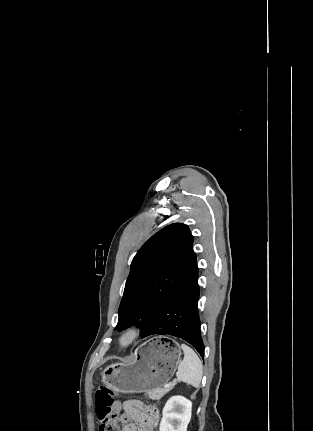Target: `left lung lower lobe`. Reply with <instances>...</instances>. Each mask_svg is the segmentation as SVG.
I'll return each mask as SVG.
<instances>
[{
	"label": "left lung lower lobe",
	"instance_id": "1",
	"mask_svg": "<svg viewBox=\"0 0 313 431\" xmlns=\"http://www.w3.org/2000/svg\"><path fill=\"white\" fill-rule=\"evenodd\" d=\"M198 273L180 289L159 311L151 325L142 334L172 335L190 343L204 357V344L201 338L198 314Z\"/></svg>",
	"mask_w": 313,
	"mask_h": 431
}]
</instances>
